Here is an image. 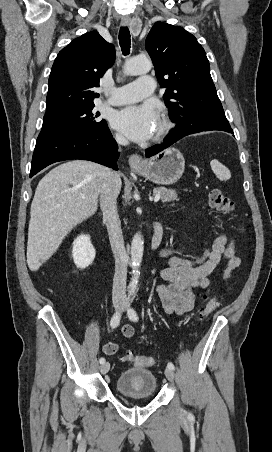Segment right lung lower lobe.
Instances as JSON below:
<instances>
[{
  "label": "right lung lower lobe",
  "instance_id": "right-lung-lower-lobe-1",
  "mask_svg": "<svg viewBox=\"0 0 272 452\" xmlns=\"http://www.w3.org/2000/svg\"><path fill=\"white\" fill-rule=\"evenodd\" d=\"M118 146L108 128L41 131L33 153L30 177L48 165L64 160H89L118 170Z\"/></svg>",
  "mask_w": 272,
  "mask_h": 452
}]
</instances>
